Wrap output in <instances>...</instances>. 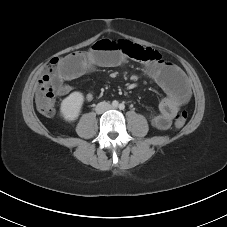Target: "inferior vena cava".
I'll use <instances>...</instances> for the list:
<instances>
[{
  "instance_id": "obj_1",
  "label": "inferior vena cava",
  "mask_w": 227,
  "mask_h": 227,
  "mask_svg": "<svg viewBox=\"0 0 227 227\" xmlns=\"http://www.w3.org/2000/svg\"><path fill=\"white\" fill-rule=\"evenodd\" d=\"M110 108H111V105L104 101L96 105L95 111L98 114H102L103 112L109 110Z\"/></svg>"
}]
</instances>
